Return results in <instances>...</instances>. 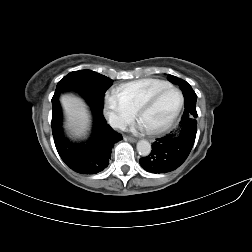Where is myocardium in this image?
Here are the masks:
<instances>
[{"label":"myocardium","instance_id":"myocardium-1","mask_svg":"<svg viewBox=\"0 0 252 252\" xmlns=\"http://www.w3.org/2000/svg\"><path fill=\"white\" fill-rule=\"evenodd\" d=\"M168 91H173V92L177 93V95L179 97L178 105L175 108V110L173 111V113L170 115V117L162 125L155 127V128L147 129V132L150 134H153V135L161 134V133L167 131L173 125V123L177 119L178 115L180 114L182 107H183V104H184V96H183L182 92L173 86L166 87V88L156 92L155 94H153L149 98H147L136 109V115L138 118H140L141 114L145 110L149 109L163 94H165Z\"/></svg>","mask_w":252,"mask_h":252}]
</instances>
